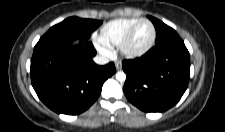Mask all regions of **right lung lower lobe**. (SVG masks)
<instances>
[{"instance_id": "98d812e1", "label": "right lung lower lobe", "mask_w": 225, "mask_h": 132, "mask_svg": "<svg viewBox=\"0 0 225 132\" xmlns=\"http://www.w3.org/2000/svg\"><path fill=\"white\" fill-rule=\"evenodd\" d=\"M76 38L43 36L31 59L36 94L61 114L77 115L87 110L97 100L105 80L116 72L114 63L99 66L93 62L96 52L91 43L73 46Z\"/></svg>"}]
</instances>
